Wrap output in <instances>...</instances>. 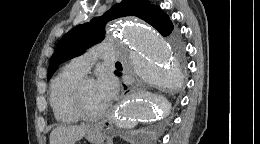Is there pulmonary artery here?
Segmentation results:
<instances>
[{
  "label": "pulmonary artery",
  "mask_w": 260,
  "mask_h": 144,
  "mask_svg": "<svg viewBox=\"0 0 260 144\" xmlns=\"http://www.w3.org/2000/svg\"><path fill=\"white\" fill-rule=\"evenodd\" d=\"M97 58H103L105 61L111 62L119 58L116 50L109 44L101 43L94 49L74 58L71 61L73 67L82 73H87Z\"/></svg>",
  "instance_id": "obj_1"
}]
</instances>
